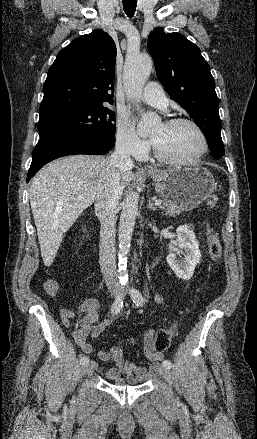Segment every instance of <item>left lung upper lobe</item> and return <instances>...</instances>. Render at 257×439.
I'll use <instances>...</instances> for the list:
<instances>
[{
    "label": "left lung upper lobe",
    "mask_w": 257,
    "mask_h": 439,
    "mask_svg": "<svg viewBox=\"0 0 257 439\" xmlns=\"http://www.w3.org/2000/svg\"><path fill=\"white\" fill-rule=\"evenodd\" d=\"M148 50L159 81L201 129L213 158L225 155L215 82L200 49L179 33L157 28L148 37Z\"/></svg>",
    "instance_id": "1"
}]
</instances>
